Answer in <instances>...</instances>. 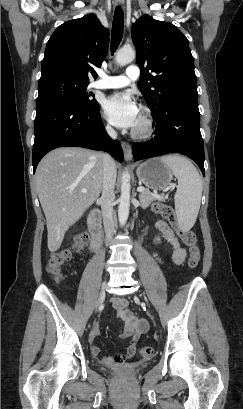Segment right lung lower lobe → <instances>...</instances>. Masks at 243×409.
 <instances>
[{
	"instance_id": "obj_1",
	"label": "right lung lower lobe",
	"mask_w": 243,
	"mask_h": 409,
	"mask_svg": "<svg viewBox=\"0 0 243 409\" xmlns=\"http://www.w3.org/2000/svg\"><path fill=\"white\" fill-rule=\"evenodd\" d=\"M64 146L103 150L119 162L124 159L120 142L111 140L106 133L98 104L82 108L65 103H50L36 108L34 172L46 153Z\"/></svg>"
}]
</instances>
